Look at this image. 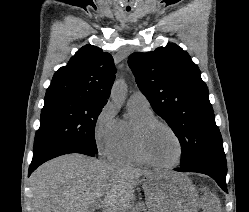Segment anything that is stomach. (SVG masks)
Instances as JSON below:
<instances>
[{"mask_svg": "<svg viewBox=\"0 0 249 212\" xmlns=\"http://www.w3.org/2000/svg\"><path fill=\"white\" fill-rule=\"evenodd\" d=\"M145 175V204L149 212H197L198 196L190 180L179 170H154ZM151 205V210L150 206Z\"/></svg>", "mask_w": 249, "mask_h": 212, "instance_id": "0dacf381", "label": "stomach"}]
</instances>
